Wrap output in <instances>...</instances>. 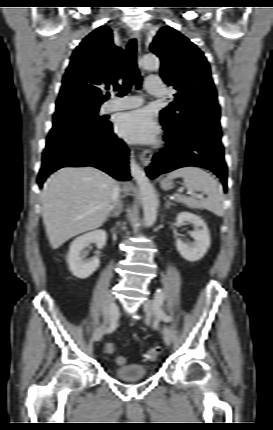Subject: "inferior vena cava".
<instances>
[{
    "label": "inferior vena cava",
    "instance_id": "inferior-vena-cava-1",
    "mask_svg": "<svg viewBox=\"0 0 273 430\" xmlns=\"http://www.w3.org/2000/svg\"><path fill=\"white\" fill-rule=\"evenodd\" d=\"M119 197H120V188L118 185H115L111 195V200L113 203V206H111V209L114 208L115 205L119 204Z\"/></svg>",
    "mask_w": 273,
    "mask_h": 430
}]
</instances>
